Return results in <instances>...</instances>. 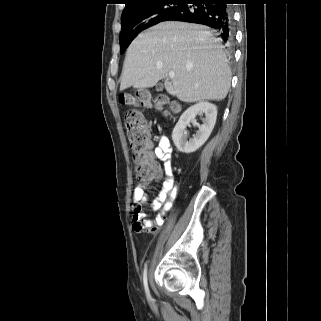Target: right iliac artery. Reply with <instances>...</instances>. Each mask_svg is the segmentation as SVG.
Returning <instances> with one entry per match:
<instances>
[{
	"label": "right iliac artery",
	"mask_w": 321,
	"mask_h": 321,
	"mask_svg": "<svg viewBox=\"0 0 321 321\" xmlns=\"http://www.w3.org/2000/svg\"><path fill=\"white\" fill-rule=\"evenodd\" d=\"M143 284H144L146 295H147L148 299H150L151 296H150L148 282H147V265H145L144 272H143Z\"/></svg>",
	"instance_id": "obj_1"
}]
</instances>
